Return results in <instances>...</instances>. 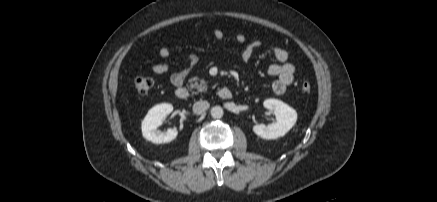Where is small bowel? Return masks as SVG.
<instances>
[{
	"label": "small bowel",
	"mask_w": 437,
	"mask_h": 202,
	"mask_svg": "<svg viewBox=\"0 0 437 202\" xmlns=\"http://www.w3.org/2000/svg\"><path fill=\"white\" fill-rule=\"evenodd\" d=\"M213 37L217 43H222L225 39L223 31L218 28L213 30ZM235 42L243 45L241 58L244 62L249 61L253 54L260 49L267 51L275 58L277 63L267 68V74L276 77L272 84L273 92L278 96L285 94L288 87L293 83L295 76V66L289 62L288 52L272 42L264 40L246 41L243 34L236 35ZM159 55L162 58H168L171 55V50L167 46H162L159 49ZM186 62L187 65L184 68L170 75V82L175 88L183 86L185 78L198 64L199 58L195 54H189L186 57ZM151 69L155 74H165L170 70V65L167 62L153 63Z\"/></svg>",
	"instance_id": "c3829d8e"
}]
</instances>
